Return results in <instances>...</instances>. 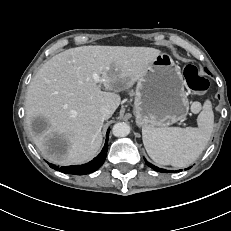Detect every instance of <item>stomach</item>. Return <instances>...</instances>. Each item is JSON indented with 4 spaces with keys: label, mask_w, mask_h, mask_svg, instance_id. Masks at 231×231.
Wrapping results in <instances>:
<instances>
[{
    "label": "stomach",
    "mask_w": 231,
    "mask_h": 231,
    "mask_svg": "<svg viewBox=\"0 0 231 231\" xmlns=\"http://www.w3.org/2000/svg\"><path fill=\"white\" fill-rule=\"evenodd\" d=\"M134 96L139 126L165 128L183 119L189 110L183 75L166 53L158 55L137 81Z\"/></svg>",
    "instance_id": "obj_1"
}]
</instances>
